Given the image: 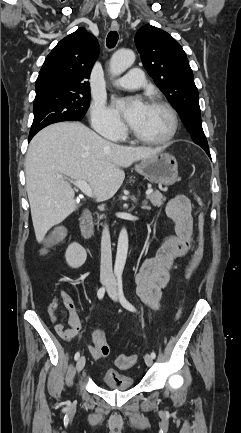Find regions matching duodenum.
I'll list each match as a JSON object with an SVG mask.
<instances>
[{
    "instance_id": "duodenum-1",
    "label": "duodenum",
    "mask_w": 241,
    "mask_h": 433,
    "mask_svg": "<svg viewBox=\"0 0 241 433\" xmlns=\"http://www.w3.org/2000/svg\"><path fill=\"white\" fill-rule=\"evenodd\" d=\"M80 230L84 239L91 241L93 238L92 232V217L89 211H84L80 218Z\"/></svg>"
}]
</instances>
